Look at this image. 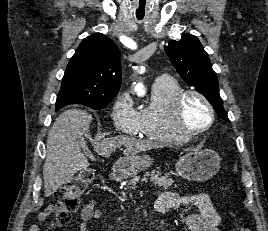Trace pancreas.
<instances>
[{
    "mask_svg": "<svg viewBox=\"0 0 268 231\" xmlns=\"http://www.w3.org/2000/svg\"><path fill=\"white\" fill-rule=\"evenodd\" d=\"M147 177H150V181H152L154 184L158 185L159 187H163V189H167L173 185V180L169 178V174H165L164 176L161 175L158 171H151V174L148 172L144 175L143 179L140 180L139 176H134L131 178V180L128 182V187L130 188H136L137 184L141 181H147ZM177 186L175 185V188Z\"/></svg>",
    "mask_w": 268,
    "mask_h": 231,
    "instance_id": "cf45deb5",
    "label": "pancreas"
}]
</instances>
